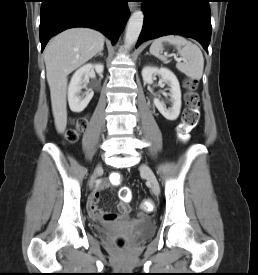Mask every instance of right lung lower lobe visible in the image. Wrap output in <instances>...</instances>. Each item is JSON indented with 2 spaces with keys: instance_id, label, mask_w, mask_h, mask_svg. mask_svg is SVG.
Listing matches in <instances>:
<instances>
[{
  "instance_id": "1",
  "label": "right lung lower lobe",
  "mask_w": 258,
  "mask_h": 275,
  "mask_svg": "<svg viewBox=\"0 0 258 275\" xmlns=\"http://www.w3.org/2000/svg\"><path fill=\"white\" fill-rule=\"evenodd\" d=\"M128 0H42L41 51L51 37L72 27H89L115 44L129 18Z\"/></svg>"
}]
</instances>
